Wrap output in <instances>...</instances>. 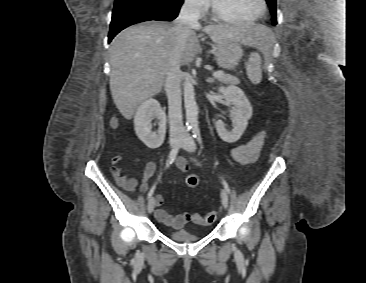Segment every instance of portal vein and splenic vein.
<instances>
[{"mask_svg":"<svg viewBox=\"0 0 366 283\" xmlns=\"http://www.w3.org/2000/svg\"><path fill=\"white\" fill-rule=\"evenodd\" d=\"M224 75V72L223 71H216V72H214L213 73V76L215 77V78H220V77H222Z\"/></svg>","mask_w":366,"mask_h":283,"instance_id":"obj_1","label":"portal vein and splenic vein"}]
</instances>
